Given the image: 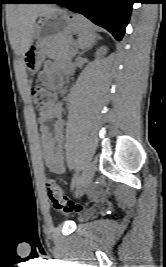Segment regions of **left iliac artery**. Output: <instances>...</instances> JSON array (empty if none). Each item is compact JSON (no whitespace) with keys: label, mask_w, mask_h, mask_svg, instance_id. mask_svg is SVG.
<instances>
[{"label":"left iliac artery","mask_w":166,"mask_h":267,"mask_svg":"<svg viewBox=\"0 0 166 267\" xmlns=\"http://www.w3.org/2000/svg\"><path fill=\"white\" fill-rule=\"evenodd\" d=\"M80 180L78 171L74 174L72 182H71V190L74 189V187L78 184Z\"/></svg>","instance_id":"left-iliac-artery-1"}]
</instances>
